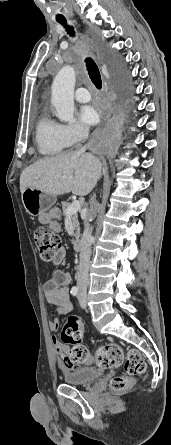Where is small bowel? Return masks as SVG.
Listing matches in <instances>:
<instances>
[{
	"label": "small bowel",
	"instance_id": "1",
	"mask_svg": "<svg viewBox=\"0 0 171 445\" xmlns=\"http://www.w3.org/2000/svg\"><path fill=\"white\" fill-rule=\"evenodd\" d=\"M49 228L58 232L60 230V225L57 222H50ZM66 258V250L61 247L54 263L56 265L61 264ZM71 276L69 272L63 270L54 271L52 277L44 283V296L48 303L55 305L58 308V317L54 320L49 321L48 327L50 331L57 332L59 329V317L70 312L73 308L69 296V284ZM53 345L55 346L57 352L61 356L60 364L65 369H76L80 368L79 364L72 363L68 356L70 348L67 345L60 343L57 336H52L51 338Z\"/></svg>",
	"mask_w": 171,
	"mask_h": 445
}]
</instances>
